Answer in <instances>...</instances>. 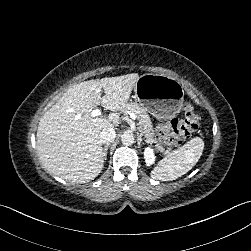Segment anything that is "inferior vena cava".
Wrapping results in <instances>:
<instances>
[{"label":"inferior vena cava","mask_w":251,"mask_h":251,"mask_svg":"<svg viewBox=\"0 0 251 251\" xmlns=\"http://www.w3.org/2000/svg\"><path fill=\"white\" fill-rule=\"evenodd\" d=\"M115 137L116 132L114 128H104L99 134L101 144H110L114 141Z\"/></svg>","instance_id":"602c4592"}]
</instances>
